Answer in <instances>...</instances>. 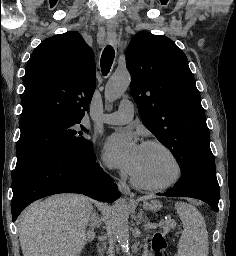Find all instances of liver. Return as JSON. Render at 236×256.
<instances>
[{
    "label": "liver",
    "mask_w": 236,
    "mask_h": 256,
    "mask_svg": "<svg viewBox=\"0 0 236 256\" xmlns=\"http://www.w3.org/2000/svg\"><path fill=\"white\" fill-rule=\"evenodd\" d=\"M89 198L56 194L28 206L18 220L23 256H79L91 216Z\"/></svg>",
    "instance_id": "6515ba94"
}]
</instances>
